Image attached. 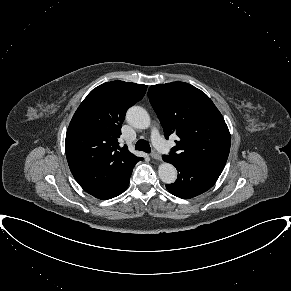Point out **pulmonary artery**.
Instances as JSON below:
<instances>
[{"label":"pulmonary artery","mask_w":291,"mask_h":291,"mask_svg":"<svg viewBox=\"0 0 291 291\" xmlns=\"http://www.w3.org/2000/svg\"><path fill=\"white\" fill-rule=\"evenodd\" d=\"M152 141L155 147L162 153H168L170 151V146L167 142L161 137L157 129H153L152 134Z\"/></svg>","instance_id":"1"}]
</instances>
